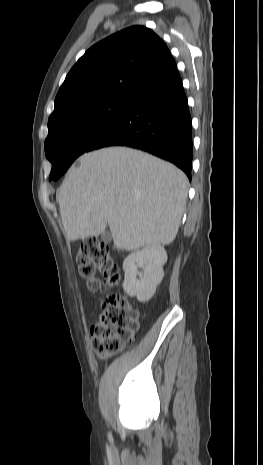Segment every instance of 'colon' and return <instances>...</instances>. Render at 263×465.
Segmentation results:
<instances>
[{
  "instance_id": "obj_1",
  "label": "colon",
  "mask_w": 263,
  "mask_h": 465,
  "mask_svg": "<svg viewBox=\"0 0 263 465\" xmlns=\"http://www.w3.org/2000/svg\"><path fill=\"white\" fill-rule=\"evenodd\" d=\"M80 275L92 291L101 287L97 272L108 288L119 286L120 274L106 243L97 238L84 240L77 251ZM102 313L91 328L92 345L101 359L119 352L124 343L134 339L139 328L138 312L119 291L108 293L102 300Z\"/></svg>"
}]
</instances>
